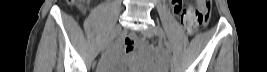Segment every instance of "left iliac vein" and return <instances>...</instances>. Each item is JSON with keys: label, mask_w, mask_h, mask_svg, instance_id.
I'll list each match as a JSON object with an SVG mask.
<instances>
[{"label": "left iliac vein", "mask_w": 267, "mask_h": 72, "mask_svg": "<svg viewBox=\"0 0 267 72\" xmlns=\"http://www.w3.org/2000/svg\"><path fill=\"white\" fill-rule=\"evenodd\" d=\"M143 35L148 38H152L154 35H156V27H148L142 31ZM171 71L173 70L172 65L170 64Z\"/></svg>", "instance_id": "obj_1"}]
</instances>
